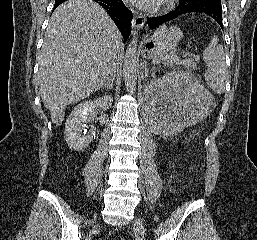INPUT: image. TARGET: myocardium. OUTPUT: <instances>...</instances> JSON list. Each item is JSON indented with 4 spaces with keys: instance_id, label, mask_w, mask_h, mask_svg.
Here are the masks:
<instances>
[{
    "instance_id": "myocardium-1",
    "label": "myocardium",
    "mask_w": 257,
    "mask_h": 240,
    "mask_svg": "<svg viewBox=\"0 0 257 240\" xmlns=\"http://www.w3.org/2000/svg\"><path fill=\"white\" fill-rule=\"evenodd\" d=\"M172 1H173V0H164V3H165V5L168 6V5H170V4L172 3Z\"/></svg>"
}]
</instances>
